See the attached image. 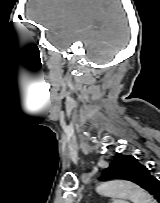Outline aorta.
Instances as JSON below:
<instances>
[{
  "label": "aorta",
  "instance_id": "obj_1",
  "mask_svg": "<svg viewBox=\"0 0 160 203\" xmlns=\"http://www.w3.org/2000/svg\"><path fill=\"white\" fill-rule=\"evenodd\" d=\"M98 192L106 196H118L132 203H155L151 195L138 185L120 180H111L99 185Z\"/></svg>",
  "mask_w": 160,
  "mask_h": 203
}]
</instances>
